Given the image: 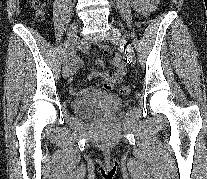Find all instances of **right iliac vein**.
<instances>
[{"mask_svg":"<svg viewBox=\"0 0 207 179\" xmlns=\"http://www.w3.org/2000/svg\"><path fill=\"white\" fill-rule=\"evenodd\" d=\"M77 23H74L68 32V37H67V42L69 43V47H68V54L71 55L74 49V43L76 41L77 38ZM62 74L63 77L65 79H67L70 75V71H69V61L66 60L65 62H63V69H62Z\"/></svg>","mask_w":207,"mask_h":179,"instance_id":"63e3f726","label":"right iliac vein"}]
</instances>
